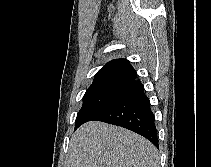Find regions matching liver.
<instances>
[{
    "label": "liver",
    "instance_id": "liver-1",
    "mask_svg": "<svg viewBox=\"0 0 211 167\" xmlns=\"http://www.w3.org/2000/svg\"><path fill=\"white\" fill-rule=\"evenodd\" d=\"M67 167H159V154L134 132L92 121L72 135Z\"/></svg>",
    "mask_w": 211,
    "mask_h": 167
}]
</instances>
